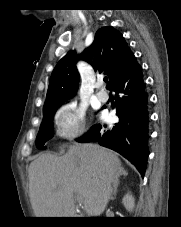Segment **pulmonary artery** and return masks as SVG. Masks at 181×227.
Here are the masks:
<instances>
[{"instance_id":"obj_1","label":"pulmonary artery","mask_w":181,"mask_h":227,"mask_svg":"<svg viewBox=\"0 0 181 227\" xmlns=\"http://www.w3.org/2000/svg\"><path fill=\"white\" fill-rule=\"evenodd\" d=\"M101 86H102V82H99V87H101ZM97 97L101 102H107L109 99V94L104 90H100L97 93Z\"/></svg>"}]
</instances>
